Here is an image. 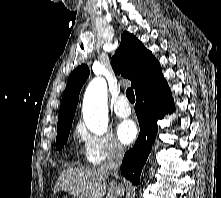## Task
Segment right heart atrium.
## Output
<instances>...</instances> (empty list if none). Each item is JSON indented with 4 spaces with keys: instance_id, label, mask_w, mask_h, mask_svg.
Returning <instances> with one entry per match:
<instances>
[{
    "instance_id": "obj_1",
    "label": "right heart atrium",
    "mask_w": 221,
    "mask_h": 198,
    "mask_svg": "<svg viewBox=\"0 0 221 198\" xmlns=\"http://www.w3.org/2000/svg\"><path fill=\"white\" fill-rule=\"evenodd\" d=\"M78 134L82 140L85 161L89 165L98 166L120 160L125 154L124 147L110 134L96 135L84 128H79Z\"/></svg>"
}]
</instances>
